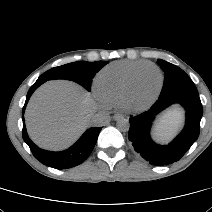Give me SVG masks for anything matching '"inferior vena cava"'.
<instances>
[{
    "label": "inferior vena cava",
    "instance_id": "1",
    "mask_svg": "<svg viewBox=\"0 0 212 212\" xmlns=\"http://www.w3.org/2000/svg\"><path fill=\"white\" fill-rule=\"evenodd\" d=\"M109 115L107 113H96L91 117L90 123L93 126H103L109 120Z\"/></svg>",
    "mask_w": 212,
    "mask_h": 212
}]
</instances>
